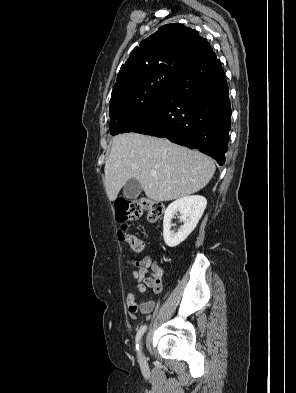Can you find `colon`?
I'll return each mask as SVG.
<instances>
[{"label":"colon","mask_w":296,"mask_h":393,"mask_svg":"<svg viewBox=\"0 0 296 393\" xmlns=\"http://www.w3.org/2000/svg\"><path fill=\"white\" fill-rule=\"evenodd\" d=\"M163 212L164 206L151 198L142 197L134 201H119L116 205V219L122 225L118 230V237L126 241L134 251H142V241L129 232L126 222L136 220L143 213H147L149 220L154 221L160 218Z\"/></svg>","instance_id":"obj_1"}]
</instances>
